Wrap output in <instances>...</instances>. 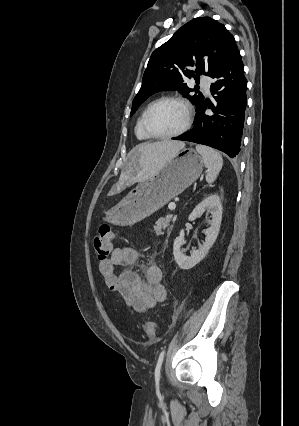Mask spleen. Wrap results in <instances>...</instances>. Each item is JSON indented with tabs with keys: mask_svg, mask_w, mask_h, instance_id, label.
<instances>
[{
	"mask_svg": "<svg viewBox=\"0 0 299 426\" xmlns=\"http://www.w3.org/2000/svg\"><path fill=\"white\" fill-rule=\"evenodd\" d=\"M196 151L202 156L205 167L208 169L206 181L213 183L222 169V156L214 149L203 145H197Z\"/></svg>",
	"mask_w": 299,
	"mask_h": 426,
	"instance_id": "spleen-1",
	"label": "spleen"
}]
</instances>
